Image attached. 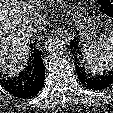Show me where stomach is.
<instances>
[{
	"mask_svg": "<svg viewBox=\"0 0 113 113\" xmlns=\"http://www.w3.org/2000/svg\"><path fill=\"white\" fill-rule=\"evenodd\" d=\"M74 20L78 24L81 43L86 46L95 42L98 26L93 17H91L86 10L80 8L79 11L76 12Z\"/></svg>",
	"mask_w": 113,
	"mask_h": 113,
	"instance_id": "stomach-1",
	"label": "stomach"
}]
</instances>
